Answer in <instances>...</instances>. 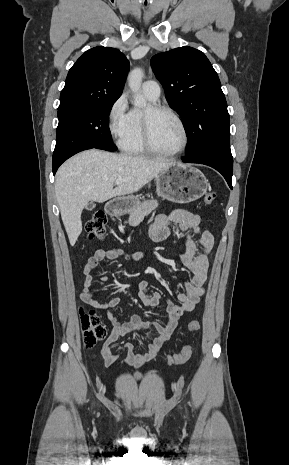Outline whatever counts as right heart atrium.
<instances>
[{
	"label": "right heart atrium",
	"instance_id": "right-heart-atrium-1",
	"mask_svg": "<svg viewBox=\"0 0 289 465\" xmlns=\"http://www.w3.org/2000/svg\"><path fill=\"white\" fill-rule=\"evenodd\" d=\"M130 124V111L125 94L120 95L108 112V129L111 136L120 144L126 136Z\"/></svg>",
	"mask_w": 289,
	"mask_h": 465
}]
</instances>
